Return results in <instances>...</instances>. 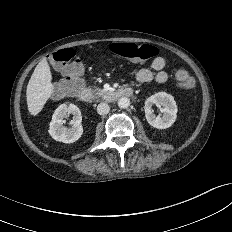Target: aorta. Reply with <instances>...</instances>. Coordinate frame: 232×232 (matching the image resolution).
<instances>
[{"instance_id": "1", "label": "aorta", "mask_w": 232, "mask_h": 232, "mask_svg": "<svg viewBox=\"0 0 232 232\" xmlns=\"http://www.w3.org/2000/svg\"><path fill=\"white\" fill-rule=\"evenodd\" d=\"M130 105V100L127 97H122L118 100L119 108L125 109L128 108Z\"/></svg>"}]
</instances>
